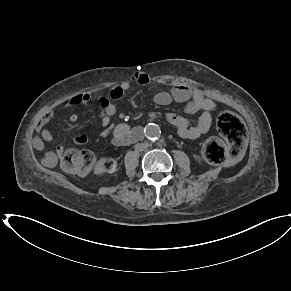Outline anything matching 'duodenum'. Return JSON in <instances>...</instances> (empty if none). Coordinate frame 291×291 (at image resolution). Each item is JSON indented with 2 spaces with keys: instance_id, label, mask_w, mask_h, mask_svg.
Segmentation results:
<instances>
[{
  "instance_id": "obj_1",
  "label": "duodenum",
  "mask_w": 291,
  "mask_h": 291,
  "mask_svg": "<svg viewBox=\"0 0 291 291\" xmlns=\"http://www.w3.org/2000/svg\"><path fill=\"white\" fill-rule=\"evenodd\" d=\"M142 138H143L142 128H136L124 138H114L113 144L116 146H125L130 143L137 142L141 140Z\"/></svg>"
}]
</instances>
